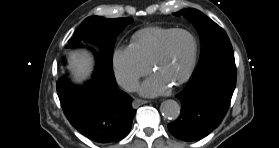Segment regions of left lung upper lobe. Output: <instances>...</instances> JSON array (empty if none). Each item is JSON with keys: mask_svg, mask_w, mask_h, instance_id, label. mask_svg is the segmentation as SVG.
Returning <instances> with one entry per match:
<instances>
[{"mask_svg": "<svg viewBox=\"0 0 279 148\" xmlns=\"http://www.w3.org/2000/svg\"><path fill=\"white\" fill-rule=\"evenodd\" d=\"M189 18L198 30L202 42L200 66L222 58L234 57L233 48L226 32L197 9H185L174 13Z\"/></svg>", "mask_w": 279, "mask_h": 148, "instance_id": "5c2ea615", "label": "left lung upper lobe"}]
</instances>
